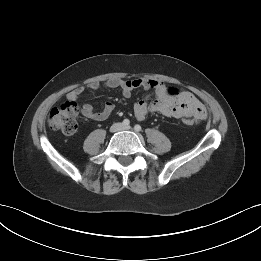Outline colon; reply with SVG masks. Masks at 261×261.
<instances>
[{
    "label": "colon",
    "instance_id": "5ec220e1",
    "mask_svg": "<svg viewBox=\"0 0 261 261\" xmlns=\"http://www.w3.org/2000/svg\"><path fill=\"white\" fill-rule=\"evenodd\" d=\"M171 95H176L178 90L175 88H169ZM77 106L73 102H65L55 108H53L49 114L48 124L54 129L61 131L66 135H72L77 131ZM184 124L192 125L194 122L190 118L183 119Z\"/></svg>",
    "mask_w": 261,
    "mask_h": 261
}]
</instances>
